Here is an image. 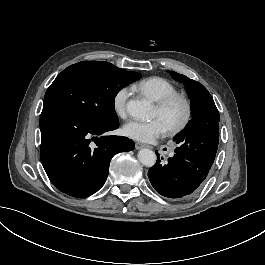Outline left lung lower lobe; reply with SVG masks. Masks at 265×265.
Returning a JSON list of instances; mask_svg holds the SVG:
<instances>
[{
    "label": "left lung lower lobe",
    "instance_id": "1",
    "mask_svg": "<svg viewBox=\"0 0 265 265\" xmlns=\"http://www.w3.org/2000/svg\"><path fill=\"white\" fill-rule=\"evenodd\" d=\"M157 163L148 171L153 188L161 195L185 200L194 195L207 179L210 169L205 164L191 162L176 154L168 158V163Z\"/></svg>",
    "mask_w": 265,
    "mask_h": 265
}]
</instances>
